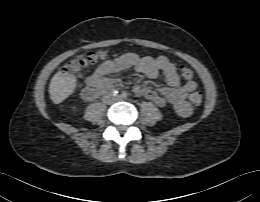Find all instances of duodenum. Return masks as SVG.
Here are the masks:
<instances>
[{
  "label": "duodenum",
  "mask_w": 260,
  "mask_h": 202,
  "mask_svg": "<svg viewBox=\"0 0 260 202\" xmlns=\"http://www.w3.org/2000/svg\"><path fill=\"white\" fill-rule=\"evenodd\" d=\"M112 88V85L107 83L88 86L83 89L81 96L84 100L91 101Z\"/></svg>",
  "instance_id": "obj_1"
}]
</instances>
